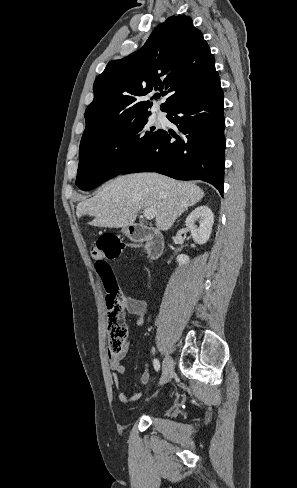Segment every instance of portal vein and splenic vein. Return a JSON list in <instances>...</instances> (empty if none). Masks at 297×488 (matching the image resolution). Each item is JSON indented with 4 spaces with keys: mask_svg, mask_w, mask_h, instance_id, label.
Wrapping results in <instances>:
<instances>
[{
    "mask_svg": "<svg viewBox=\"0 0 297 488\" xmlns=\"http://www.w3.org/2000/svg\"><path fill=\"white\" fill-rule=\"evenodd\" d=\"M143 215L146 219H153L155 217V209L148 208L143 211Z\"/></svg>",
    "mask_w": 297,
    "mask_h": 488,
    "instance_id": "portal-vein-and-splenic-vein-1",
    "label": "portal vein and splenic vein"
}]
</instances>
